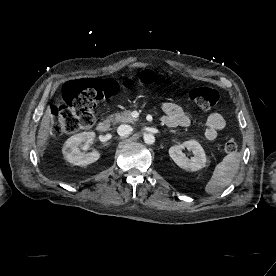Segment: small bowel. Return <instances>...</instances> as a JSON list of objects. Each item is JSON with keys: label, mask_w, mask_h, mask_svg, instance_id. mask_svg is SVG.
I'll use <instances>...</instances> for the list:
<instances>
[{"label": "small bowel", "mask_w": 276, "mask_h": 276, "mask_svg": "<svg viewBox=\"0 0 276 276\" xmlns=\"http://www.w3.org/2000/svg\"><path fill=\"white\" fill-rule=\"evenodd\" d=\"M165 115L162 122L169 127L189 126L191 125L190 117L184 112L183 108L178 104L167 102L162 105ZM207 128L204 135L208 141H214L218 133L224 129L226 122L223 116L217 112L208 115L206 120Z\"/></svg>", "instance_id": "small-bowel-1"}]
</instances>
